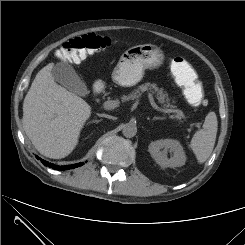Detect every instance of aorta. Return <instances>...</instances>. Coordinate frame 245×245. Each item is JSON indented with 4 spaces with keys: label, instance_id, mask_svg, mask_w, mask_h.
I'll return each mask as SVG.
<instances>
[{
    "label": "aorta",
    "instance_id": "aorta-1",
    "mask_svg": "<svg viewBox=\"0 0 245 245\" xmlns=\"http://www.w3.org/2000/svg\"><path fill=\"white\" fill-rule=\"evenodd\" d=\"M122 133L127 138H132L137 133V127L135 123L129 122L123 125Z\"/></svg>",
    "mask_w": 245,
    "mask_h": 245
}]
</instances>
